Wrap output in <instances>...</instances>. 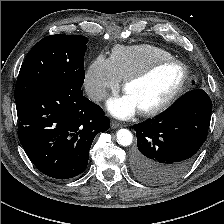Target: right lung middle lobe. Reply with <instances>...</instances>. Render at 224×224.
Here are the masks:
<instances>
[{
	"mask_svg": "<svg viewBox=\"0 0 224 224\" xmlns=\"http://www.w3.org/2000/svg\"><path fill=\"white\" fill-rule=\"evenodd\" d=\"M87 42L84 36L55 34L35 44L21 66L15 102L45 86L81 88L85 77L83 58Z\"/></svg>",
	"mask_w": 224,
	"mask_h": 224,
	"instance_id": "right-lung-middle-lobe-1",
	"label": "right lung middle lobe"
}]
</instances>
